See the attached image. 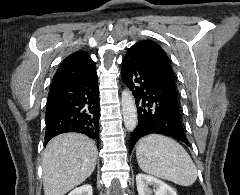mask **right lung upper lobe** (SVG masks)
Here are the masks:
<instances>
[{
  "mask_svg": "<svg viewBox=\"0 0 240 195\" xmlns=\"http://www.w3.org/2000/svg\"><path fill=\"white\" fill-rule=\"evenodd\" d=\"M96 70L94 62L86 52L71 54L61 63L53 77V82L74 81L87 77Z\"/></svg>",
  "mask_w": 240,
  "mask_h": 195,
  "instance_id": "obj_1",
  "label": "right lung upper lobe"
}]
</instances>
